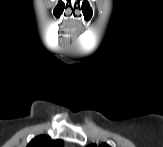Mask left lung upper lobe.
Masks as SVG:
<instances>
[{
  "label": "left lung upper lobe",
  "instance_id": "obj_1",
  "mask_svg": "<svg viewBox=\"0 0 163 147\" xmlns=\"http://www.w3.org/2000/svg\"><path fill=\"white\" fill-rule=\"evenodd\" d=\"M89 147H96V145L95 144H92ZM100 147H110V146L107 145V144H101Z\"/></svg>",
  "mask_w": 163,
  "mask_h": 147
}]
</instances>
